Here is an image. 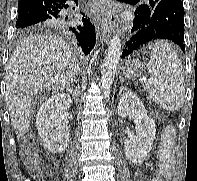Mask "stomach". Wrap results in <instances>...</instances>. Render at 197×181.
I'll return each instance as SVG.
<instances>
[{
  "label": "stomach",
  "instance_id": "stomach-1",
  "mask_svg": "<svg viewBox=\"0 0 197 181\" xmlns=\"http://www.w3.org/2000/svg\"><path fill=\"white\" fill-rule=\"evenodd\" d=\"M144 71V65L138 59H132L125 62L122 67L123 75L126 78H135L142 75Z\"/></svg>",
  "mask_w": 197,
  "mask_h": 181
}]
</instances>
